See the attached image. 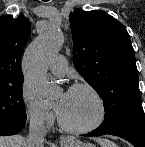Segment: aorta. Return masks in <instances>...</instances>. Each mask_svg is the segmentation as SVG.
Returning <instances> with one entry per match:
<instances>
[{
	"mask_svg": "<svg viewBox=\"0 0 145 147\" xmlns=\"http://www.w3.org/2000/svg\"><path fill=\"white\" fill-rule=\"evenodd\" d=\"M62 40L60 28L52 26L29 45L24 55V73L43 99L50 98L54 93V85L47 79L46 72L48 64L59 51Z\"/></svg>",
	"mask_w": 145,
	"mask_h": 147,
	"instance_id": "obj_1",
	"label": "aorta"
}]
</instances>
